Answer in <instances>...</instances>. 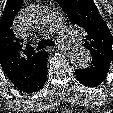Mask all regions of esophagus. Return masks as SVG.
<instances>
[{"instance_id":"34e87169","label":"esophagus","mask_w":113,"mask_h":113,"mask_svg":"<svg viewBox=\"0 0 113 113\" xmlns=\"http://www.w3.org/2000/svg\"><path fill=\"white\" fill-rule=\"evenodd\" d=\"M56 49H58V50H64L65 49V47L63 46V45H57L56 46Z\"/></svg>"}]
</instances>
